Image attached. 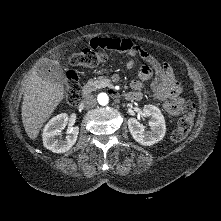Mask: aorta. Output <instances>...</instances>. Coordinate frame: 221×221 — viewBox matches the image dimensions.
<instances>
[{"label":"aorta","mask_w":221,"mask_h":221,"mask_svg":"<svg viewBox=\"0 0 221 221\" xmlns=\"http://www.w3.org/2000/svg\"><path fill=\"white\" fill-rule=\"evenodd\" d=\"M98 102L100 105H107L109 102V97L106 93H100L98 95Z\"/></svg>","instance_id":"obj_1"}]
</instances>
